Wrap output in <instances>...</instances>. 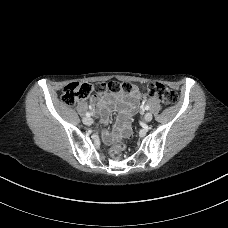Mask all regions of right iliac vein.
Here are the masks:
<instances>
[{"label":"right iliac vein","mask_w":228,"mask_h":228,"mask_svg":"<svg viewBox=\"0 0 228 228\" xmlns=\"http://www.w3.org/2000/svg\"><path fill=\"white\" fill-rule=\"evenodd\" d=\"M83 123L85 125H91L93 123V119L90 117H85V118H83Z\"/></svg>","instance_id":"right-iliac-vein-1"}]
</instances>
